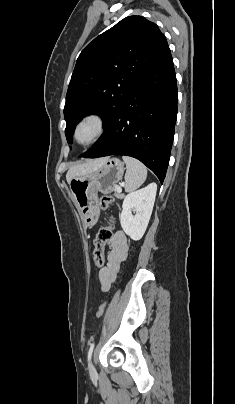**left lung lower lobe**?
<instances>
[{
    "instance_id": "left-lung-lower-lobe-1",
    "label": "left lung lower lobe",
    "mask_w": 235,
    "mask_h": 404,
    "mask_svg": "<svg viewBox=\"0 0 235 404\" xmlns=\"http://www.w3.org/2000/svg\"><path fill=\"white\" fill-rule=\"evenodd\" d=\"M177 118V84L170 49L135 84L99 140L80 157H134L163 183Z\"/></svg>"
}]
</instances>
